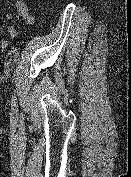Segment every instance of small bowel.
<instances>
[{"label": "small bowel", "instance_id": "small-bowel-1", "mask_svg": "<svg viewBox=\"0 0 131 177\" xmlns=\"http://www.w3.org/2000/svg\"><path fill=\"white\" fill-rule=\"evenodd\" d=\"M16 10L18 15L23 19L27 24H32L34 22V16L31 14L27 3L24 0H16ZM13 18V14L9 11L3 13V19L9 21ZM8 32L11 36L15 37L17 31L14 27L10 26ZM1 48L5 50L7 48V42L3 41L1 43Z\"/></svg>", "mask_w": 131, "mask_h": 177}]
</instances>
